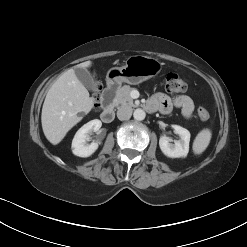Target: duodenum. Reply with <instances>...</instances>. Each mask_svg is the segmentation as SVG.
I'll list each match as a JSON object with an SVG mask.
<instances>
[{"mask_svg": "<svg viewBox=\"0 0 247 247\" xmlns=\"http://www.w3.org/2000/svg\"><path fill=\"white\" fill-rule=\"evenodd\" d=\"M116 89H117V84L114 81H110L107 83V86L102 93L101 119L105 123H110L114 119L113 99Z\"/></svg>", "mask_w": 247, "mask_h": 247, "instance_id": "1", "label": "duodenum"}]
</instances>
